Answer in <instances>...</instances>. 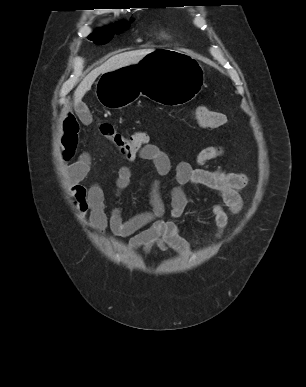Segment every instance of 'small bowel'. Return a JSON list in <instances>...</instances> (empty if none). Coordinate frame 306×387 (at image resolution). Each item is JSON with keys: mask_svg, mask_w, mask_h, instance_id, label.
<instances>
[{"mask_svg": "<svg viewBox=\"0 0 306 387\" xmlns=\"http://www.w3.org/2000/svg\"><path fill=\"white\" fill-rule=\"evenodd\" d=\"M79 117L85 124L91 122V115L87 110H80ZM78 144L79 123L77 118L69 113L63 119L60 138V152L64 161L70 162L74 158ZM222 154V147L208 146L197 154L196 166L188 161H180L173 167L169 154L148 143L138 153L125 157L128 161L140 159L150 162L153 171L159 176L172 173L175 183L170 189L169 219L165 218L166 205L158 179H154L150 185V209L125 219L118 207L107 213L105 192L100 183L95 182L89 186L82 183L90 170V156L84 152L66 169L72 204L81 216L88 217L95 232L102 234L110 230L115 236L128 238V244L133 249H141L145 253H150L155 248L161 251L171 249L179 254H188L190 245L183 237L182 227L178 222L188 205L185 185L202 187L221 200L220 203L208 206L216 227V238H220L224 233L229 217L242 210L241 193L248 183V177L243 173L210 170L206 167L208 162ZM131 178L130 167L121 166L117 169L114 181L116 196H120L129 186Z\"/></svg>", "mask_w": 306, "mask_h": 387, "instance_id": "c3829d8e", "label": "small bowel"}]
</instances>
